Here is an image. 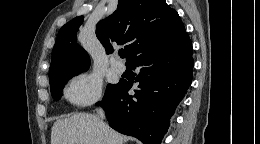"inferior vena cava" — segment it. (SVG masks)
<instances>
[{"label":"inferior vena cava","mask_w":260,"mask_h":144,"mask_svg":"<svg viewBox=\"0 0 260 144\" xmlns=\"http://www.w3.org/2000/svg\"><path fill=\"white\" fill-rule=\"evenodd\" d=\"M97 113H98V117H99L100 121L103 122V119L105 118V113H104L103 109H101V108L97 109Z\"/></svg>","instance_id":"602c4592"}]
</instances>
